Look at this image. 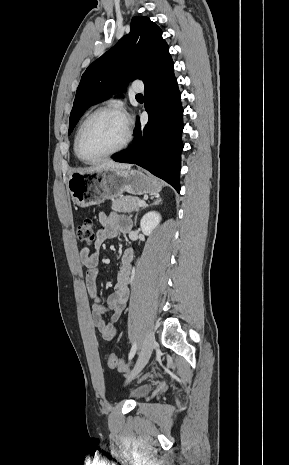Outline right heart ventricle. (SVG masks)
<instances>
[{
	"label": "right heart ventricle",
	"mask_w": 289,
	"mask_h": 465,
	"mask_svg": "<svg viewBox=\"0 0 289 465\" xmlns=\"http://www.w3.org/2000/svg\"><path fill=\"white\" fill-rule=\"evenodd\" d=\"M76 135H77V132H76L75 137H74V151H75V140H76ZM75 153H76V151H75Z\"/></svg>",
	"instance_id": "e07e8e85"
}]
</instances>
